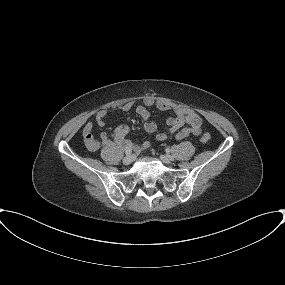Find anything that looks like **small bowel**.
<instances>
[{
	"label": "small bowel",
	"mask_w": 285,
	"mask_h": 285,
	"mask_svg": "<svg viewBox=\"0 0 285 285\" xmlns=\"http://www.w3.org/2000/svg\"><path fill=\"white\" fill-rule=\"evenodd\" d=\"M135 105V102H127L121 105L120 109L123 112L130 111ZM150 107H156L160 111L173 110L175 116L166 120L167 132H157V125L151 120ZM136 113L145 121L144 128L148 133H156L157 141H165L169 135H174L176 139L182 140L190 135H199L201 133L202 120L200 116L187 108L174 107L168 102L157 100L153 97H145L140 104L136 106ZM107 111L100 110L94 122H88L83 128L84 142L89 151H97L103 146H117L121 148H130L135 152H140L150 147L149 141L135 143L128 138V125H119L112 134L103 132L96 139L93 135L94 126L104 127L106 125Z\"/></svg>",
	"instance_id": "1"
}]
</instances>
